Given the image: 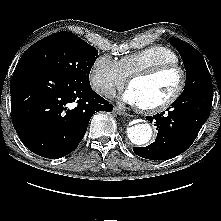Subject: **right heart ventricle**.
I'll use <instances>...</instances> for the list:
<instances>
[{
  "label": "right heart ventricle",
  "instance_id": "e07e8e85",
  "mask_svg": "<svg viewBox=\"0 0 221 221\" xmlns=\"http://www.w3.org/2000/svg\"><path fill=\"white\" fill-rule=\"evenodd\" d=\"M172 63L178 64V55L164 45H151L142 50L125 55L118 61L119 67L126 77L133 73L156 65Z\"/></svg>",
  "mask_w": 221,
  "mask_h": 221
}]
</instances>
